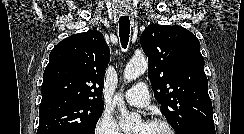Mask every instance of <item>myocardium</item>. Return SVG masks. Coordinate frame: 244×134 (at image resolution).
<instances>
[{
	"instance_id": "f54148a6",
	"label": "myocardium",
	"mask_w": 244,
	"mask_h": 134,
	"mask_svg": "<svg viewBox=\"0 0 244 134\" xmlns=\"http://www.w3.org/2000/svg\"><path fill=\"white\" fill-rule=\"evenodd\" d=\"M147 124H152V125H159L164 127L169 134H177L176 130L174 129V127L166 120L163 119H152L150 121H148Z\"/></svg>"
}]
</instances>
